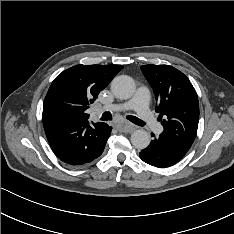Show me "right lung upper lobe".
<instances>
[{
    "instance_id": "right-lung-upper-lobe-1",
    "label": "right lung upper lobe",
    "mask_w": 234,
    "mask_h": 234,
    "mask_svg": "<svg viewBox=\"0 0 234 234\" xmlns=\"http://www.w3.org/2000/svg\"><path fill=\"white\" fill-rule=\"evenodd\" d=\"M121 65H76L60 73L52 82L43 103L44 129L50 126L88 120L86 110Z\"/></svg>"
}]
</instances>
